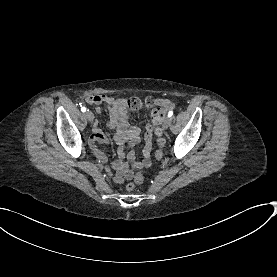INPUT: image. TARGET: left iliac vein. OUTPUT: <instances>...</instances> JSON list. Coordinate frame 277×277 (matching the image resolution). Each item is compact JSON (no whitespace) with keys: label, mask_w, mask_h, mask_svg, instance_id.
I'll return each instance as SVG.
<instances>
[{"label":"left iliac vein","mask_w":277,"mask_h":277,"mask_svg":"<svg viewBox=\"0 0 277 277\" xmlns=\"http://www.w3.org/2000/svg\"><path fill=\"white\" fill-rule=\"evenodd\" d=\"M170 122H171V119L169 117H165L162 124L163 128L167 129L170 126Z\"/></svg>","instance_id":"left-iliac-vein-1"}]
</instances>
